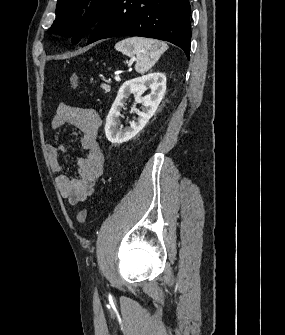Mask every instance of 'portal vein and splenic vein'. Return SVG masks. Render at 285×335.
Segmentation results:
<instances>
[{
  "mask_svg": "<svg viewBox=\"0 0 285 335\" xmlns=\"http://www.w3.org/2000/svg\"><path fill=\"white\" fill-rule=\"evenodd\" d=\"M115 80H116V82H120V80H121L120 76H115Z\"/></svg>",
  "mask_w": 285,
  "mask_h": 335,
  "instance_id": "1",
  "label": "portal vein and splenic vein"
}]
</instances>
